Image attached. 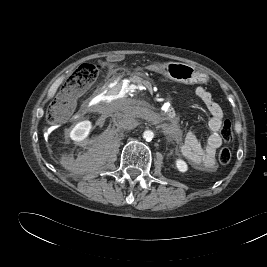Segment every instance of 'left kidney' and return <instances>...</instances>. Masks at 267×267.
Wrapping results in <instances>:
<instances>
[{
    "label": "left kidney",
    "mask_w": 267,
    "mask_h": 267,
    "mask_svg": "<svg viewBox=\"0 0 267 267\" xmlns=\"http://www.w3.org/2000/svg\"><path fill=\"white\" fill-rule=\"evenodd\" d=\"M176 167H177L178 171H180L182 173H184V172H186L188 170L187 163L182 159H177L176 160Z\"/></svg>",
    "instance_id": "left-kidney-1"
}]
</instances>
